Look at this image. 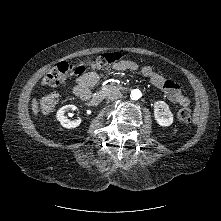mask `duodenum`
<instances>
[{
	"instance_id": "obj_1",
	"label": "duodenum",
	"mask_w": 221,
	"mask_h": 221,
	"mask_svg": "<svg viewBox=\"0 0 221 221\" xmlns=\"http://www.w3.org/2000/svg\"><path fill=\"white\" fill-rule=\"evenodd\" d=\"M117 89H119V87H107L98 91L94 95L86 97L83 100L89 104H97L101 102L112 90H117Z\"/></svg>"
}]
</instances>
